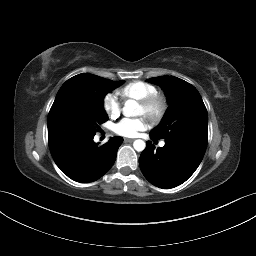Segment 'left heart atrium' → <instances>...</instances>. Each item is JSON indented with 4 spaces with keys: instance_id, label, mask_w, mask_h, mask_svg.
Returning a JSON list of instances; mask_svg holds the SVG:
<instances>
[{
    "instance_id": "1",
    "label": "left heart atrium",
    "mask_w": 256,
    "mask_h": 256,
    "mask_svg": "<svg viewBox=\"0 0 256 256\" xmlns=\"http://www.w3.org/2000/svg\"><path fill=\"white\" fill-rule=\"evenodd\" d=\"M147 126V122L143 117L136 119L125 118L114 126V132L124 137H135L139 132L145 130Z\"/></svg>"
}]
</instances>
